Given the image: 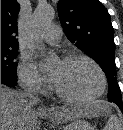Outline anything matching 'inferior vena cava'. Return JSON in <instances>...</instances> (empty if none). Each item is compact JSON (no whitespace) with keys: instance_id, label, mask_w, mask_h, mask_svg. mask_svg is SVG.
I'll use <instances>...</instances> for the list:
<instances>
[{"instance_id":"obj_1","label":"inferior vena cava","mask_w":123,"mask_h":130,"mask_svg":"<svg viewBox=\"0 0 123 130\" xmlns=\"http://www.w3.org/2000/svg\"><path fill=\"white\" fill-rule=\"evenodd\" d=\"M25 96L29 99V105H34L40 102V98L38 97L35 90H27L25 92Z\"/></svg>"}]
</instances>
